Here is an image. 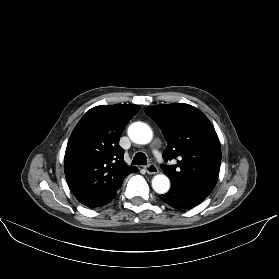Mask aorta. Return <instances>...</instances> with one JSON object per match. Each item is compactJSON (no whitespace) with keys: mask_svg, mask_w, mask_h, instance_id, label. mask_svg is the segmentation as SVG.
<instances>
[{"mask_svg":"<svg viewBox=\"0 0 279 279\" xmlns=\"http://www.w3.org/2000/svg\"><path fill=\"white\" fill-rule=\"evenodd\" d=\"M128 136L136 144H148L153 138L152 129L143 122H134L128 128ZM152 188L158 194H165L170 189V180L164 174L155 175Z\"/></svg>","mask_w":279,"mask_h":279,"instance_id":"obj_1","label":"aorta"}]
</instances>
